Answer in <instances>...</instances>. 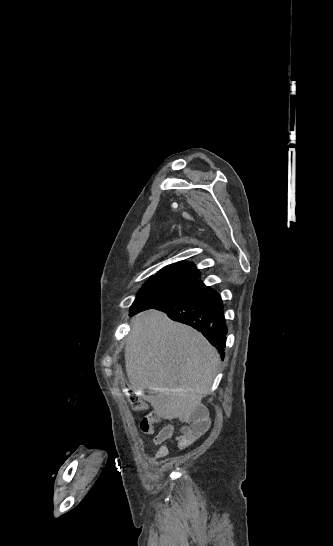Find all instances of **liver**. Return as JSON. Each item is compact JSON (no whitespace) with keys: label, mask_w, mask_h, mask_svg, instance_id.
<instances>
[{"label":"liver","mask_w":333,"mask_h":546,"mask_svg":"<svg viewBox=\"0 0 333 546\" xmlns=\"http://www.w3.org/2000/svg\"><path fill=\"white\" fill-rule=\"evenodd\" d=\"M220 357L195 329L149 310L131 320L125 348L131 388L142 391L162 418L190 416L202 407Z\"/></svg>","instance_id":"obj_1"}]
</instances>
